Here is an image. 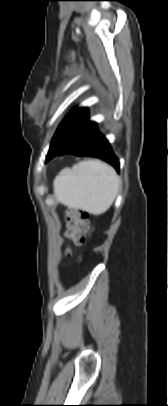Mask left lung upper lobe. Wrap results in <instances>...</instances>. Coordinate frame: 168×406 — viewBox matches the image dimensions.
Segmentation results:
<instances>
[{
    "label": "left lung upper lobe",
    "instance_id": "5c2ea615",
    "mask_svg": "<svg viewBox=\"0 0 168 406\" xmlns=\"http://www.w3.org/2000/svg\"><path fill=\"white\" fill-rule=\"evenodd\" d=\"M86 122V108L71 112L58 127L52 139L48 155L56 148L72 140L84 128Z\"/></svg>",
    "mask_w": 168,
    "mask_h": 406
}]
</instances>
